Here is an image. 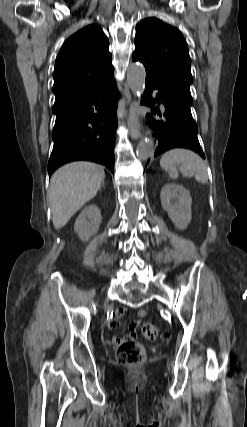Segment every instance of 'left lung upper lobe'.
Wrapping results in <instances>:
<instances>
[{
  "instance_id": "obj_1",
  "label": "left lung upper lobe",
  "mask_w": 247,
  "mask_h": 427,
  "mask_svg": "<svg viewBox=\"0 0 247 427\" xmlns=\"http://www.w3.org/2000/svg\"><path fill=\"white\" fill-rule=\"evenodd\" d=\"M133 61L145 65L146 82L187 106L192 105L188 45L180 31L151 17L136 27Z\"/></svg>"
}]
</instances>
